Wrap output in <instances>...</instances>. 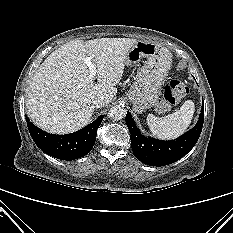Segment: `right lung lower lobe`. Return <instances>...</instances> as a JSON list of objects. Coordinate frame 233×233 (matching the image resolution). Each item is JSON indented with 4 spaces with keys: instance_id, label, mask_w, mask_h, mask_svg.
<instances>
[{
    "instance_id": "right-lung-lower-lobe-1",
    "label": "right lung lower lobe",
    "mask_w": 233,
    "mask_h": 233,
    "mask_svg": "<svg viewBox=\"0 0 233 233\" xmlns=\"http://www.w3.org/2000/svg\"><path fill=\"white\" fill-rule=\"evenodd\" d=\"M103 115L74 133L55 135L33 125L26 116L27 126L35 144L46 154L62 160H74L88 154L96 141V132Z\"/></svg>"
}]
</instances>
